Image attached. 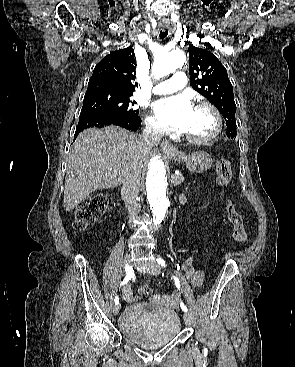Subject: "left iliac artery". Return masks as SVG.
<instances>
[{
  "instance_id": "44dca946",
  "label": "left iliac artery",
  "mask_w": 295,
  "mask_h": 367,
  "mask_svg": "<svg viewBox=\"0 0 295 367\" xmlns=\"http://www.w3.org/2000/svg\"><path fill=\"white\" fill-rule=\"evenodd\" d=\"M156 261L162 267H165L166 266V263H165V261L162 258H157ZM172 278H174L175 284H176V286H177V288L179 290L180 289V281H179V279L176 276H172ZM180 307H181V309L184 312H187L188 311L187 307L185 306V304L182 301H180Z\"/></svg>"
}]
</instances>
